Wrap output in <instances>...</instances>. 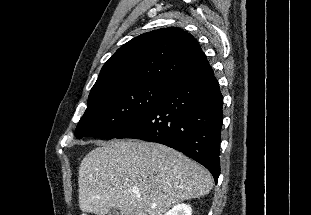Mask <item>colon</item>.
Masks as SVG:
<instances>
[{"label": "colon", "instance_id": "colon-1", "mask_svg": "<svg viewBox=\"0 0 311 215\" xmlns=\"http://www.w3.org/2000/svg\"><path fill=\"white\" fill-rule=\"evenodd\" d=\"M81 215H88V214L83 213V214H81Z\"/></svg>", "mask_w": 311, "mask_h": 215}]
</instances>
